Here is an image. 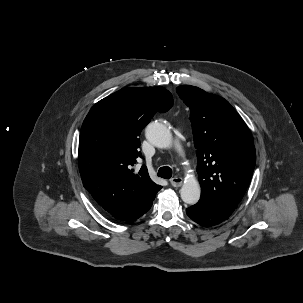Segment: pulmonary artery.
<instances>
[{
  "label": "pulmonary artery",
  "instance_id": "obj_1",
  "mask_svg": "<svg viewBox=\"0 0 303 303\" xmlns=\"http://www.w3.org/2000/svg\"><path fill=\"white\" fill-rule=\"evenodd\" d=\"M179 137H180V133L177 132V137H176V141H175V144H176V147L181 150V146H180V142H179Z\"/></svg>",
  "mask_w": 303,
  "mask_h": 303
}]
</instances>
